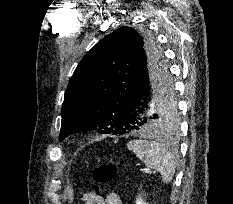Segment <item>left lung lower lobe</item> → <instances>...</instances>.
<instances>
[{"label": "left lung lower lobe", "instance_id": "obj_1", "mask_svg": "<svg viewBox=\"0 0 233 204\" xmlns=\"http://www.w3.org/2000/svg\"><path fill=\"white\" fill-rule=\"evenodd\" d=\"M170 83L169 69L161 55L139 57L115 117L116 125L123 128L124 134L137 130L162 132L156 127L154 110Z\"/></svg>", "mask_w": 233, "mask_h": 204}]
</instances>
